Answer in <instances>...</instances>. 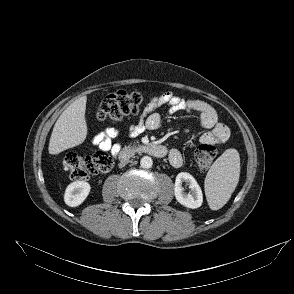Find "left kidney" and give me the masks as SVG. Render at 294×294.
<instances>
[{
	"instance_id": "5707ae66",
	"label": "left kidney",
	"mask_w": 294,
	"mask_h": 294,
	"mask_svg": "<svg viewBox=\"0 0 294 294\" xmlns=\"http://www.w3.org/2000/svg\"><path fill=\"white\" fill-rule=\"evenodd\" d=\"M183 182H185L191 189L190 193L186 194L184 192V188L182 186ZM174 194L176 200L187 208L195 209L202 205V190L195 178L187 172H181L176 176Z\"/></svg>"
}]
</instances>
